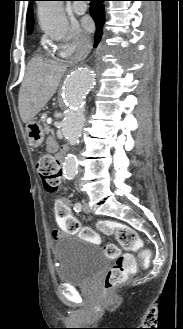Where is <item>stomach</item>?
<instances>
[{
  "label": "stomach",
  "mask_w": 183,
  "mask_h": 329,
  "mask_svg": "<svg viewBox=\"0 0 183 329\" xmlns=\"http://www.w3.org/2000/svg\"><path fill=\"white\" fill-rule=\"evenodd\" d=\"M26 134L30 146L36 148L43 143L45 130L43 129L39 121L33 119L26 123Z\"/></svg>",
  "instance_id": "obj_1"
}]
</instances>
